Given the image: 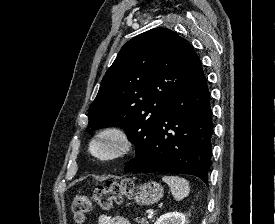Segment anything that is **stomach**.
<instances>
[{"label":"stomach","mask_w":275,"mask_h":224,"mask_svg":"<svg viewBox=\"0 0 275 224\" xmlns=\"http://www.w3.org/2000/svg\"><path fill=\"white\" fill-rule=\"evenodd\" d=\"M135 201L140 205H152L163 197V187L157 182H148L137 187Z\"/></svg>","instance_id":"obj_1"}]
</instances>
